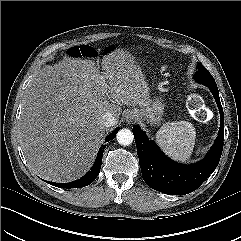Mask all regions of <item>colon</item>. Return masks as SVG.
Wrapping results in <instances>:
<instances>
[{"mask_svg": "<svg viewBox=\"0 0 241 241\" xmlns=\"http://www.w3.org/2000/svg\"><path fill=\"white\" fill-rule=\"evenodd\" d=\"M68 54L70 57H94L96 55V51L89 46H80L70 49ZM187 107L198 120H208L209 110L204 105L203 99L199 95H191L188 98Z\"/></svg>", "mask_w": 241, "mask_h": 241, "instance_id": "obj_1", "label": "colon"}]
</instances>
